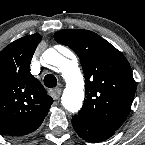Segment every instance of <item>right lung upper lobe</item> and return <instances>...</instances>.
Wrapping results in <instances>:
<instances>
[{
    "label": "right lung upper lobe",
    "mask_w": 145,
    "mask_h": 145,
    "mask_svg": "<svg viewBox=\"0 0 145 145\" xmlns=\"http://www.w3.org/2000/svg\"><path fill=\"white\" fill-rule=\"evenodd\" d=\"M38 33L20 38L0 52V134L22 136L43 122L53 100L29 66Z\"/></svg>",
    "instance_id": "right-lung-upper-lobe-1"
}]
</instances>
